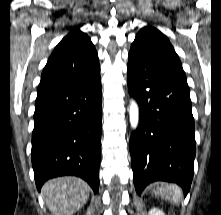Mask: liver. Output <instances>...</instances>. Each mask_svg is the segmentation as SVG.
Segmentation results:
<instances>
[{
	"mask_svg": "<svg viewBox=\"0 0 221 215\" xmlns=\"http://www.w3.org/2000/svg\"><path fill=\"white\" fill-rule=\"evenodd\" d=\"M89 185L73 176L48 180L42 187V196L52 215H73L88 200Z\"/></svg>",
	"mask_w": 221,
	"mask_h": 215,
	"instance_id": "obj_1",
	"label": "liver"
}]
</instances>
